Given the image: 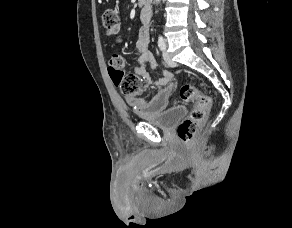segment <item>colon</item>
Masks as SVG:
<instances>
[{"label": "colon", "mask_w": 292, "mask_h": 228, "mask_svg": "<svg viewBox=\"0 0 292 228\" xmlns=\"http://www.w3.org/2000/svg\"><path fill=\"white\" fill-rule=\"evenodd\" d=\"M120 25V17L116 10L107 9L104 11L102 26L108 35L117 34L120 30ZM123 63L121 56L113 55L109 61V75L125 96L128 98L137 97L141 92L142 81L135 74H125ZM180 98L184 102H194L193 109L177 129L180 140L190 145L198 128L207 120L211 107V98L191 85H185L181 88Z\"/></svg>", "instance_id": "1"}]
</instances>
